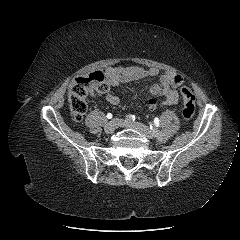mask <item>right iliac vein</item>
I'll list each match as a JSON object with an SVG mask.
<instances>
[{
	"label": "right iliac vein",
	"instance_id": "obj_1",
	"mask_svg": "<svg viewBox=\"0 0 240 240\" xmlns=\"http://www.w3.org/2000/svg\"><path fill=\"white\" fill-rule=\"evenodd\" d=\"M123 121L121 119L115 118L109 121L105 125V131L106 132H113L115 129H117L119 126H121Z\"/></svg>",
	"mask_w": 240,
	"mask_h": 240
}]
</instances>
